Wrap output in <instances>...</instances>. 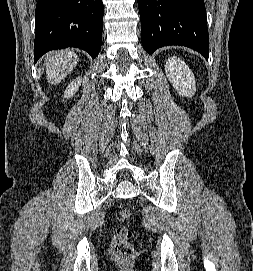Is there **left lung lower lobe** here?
<instances>
[{"label": "left lung lower lobe", "mask_w": 253, "mask_h": 271, "mask_svg": "<svg viewBox=\"0 0 253 271\" xmlns=\"http://www.w3.org/2000/svg\"><path fill=\"white\" fill-rule=\"evenodd\" d=\"M138 7L142 44L149 54L166 45H182L208 59L204 0H138Z\"/></svg>", "instance_id": "obj_1"}]
</instances>
